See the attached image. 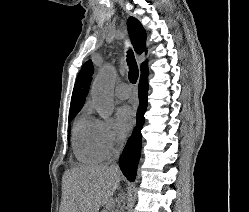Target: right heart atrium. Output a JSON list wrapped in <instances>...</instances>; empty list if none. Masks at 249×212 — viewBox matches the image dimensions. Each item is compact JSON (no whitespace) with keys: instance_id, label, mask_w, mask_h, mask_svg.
I'll use <instances>...</instances> for the list:
<instances>
[{"instance_id":"1","label":"right heart atrium","mask_w":249,"mask_h":212,"mask_svg":"<svg viewBox=\"0 0 249 212\" xmlns=\"http://www.w3.org/2000/svg\"><path fill=\"white\" fill-rule=\"evenodd\" d=\"M96 142L102 160L111 159L118 151L120 138L117 136L113 126L106 121L96 120Z\"/></svg>"}]
</instances>
